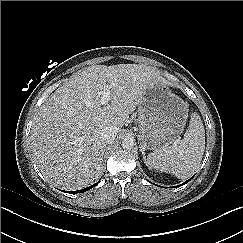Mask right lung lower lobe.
Wrapping results in <instances>:
<instances>
[{
    "instance_id": "right-lung-lower-lobe-1",
    "label": "right lung lower lobe",
    "mask_w": 243,
    "mask_h": 243,
    "mask_svg": "<svg viewBox=\"0 0 243 243\" xmlns=\"http://www.w3.org/2000/svg\"><path fill=\"white\" fill-rule=\"evenodd\" d=\"M97 185V183L96 184H94V185H92V186H90V187H87V188H85V189H82V190H78V191H70L69 193H83V192H86V191H88V190H90L91 188H93L94 186H96Z\"/></svg>"
}]
</instances>
